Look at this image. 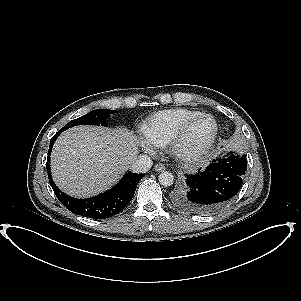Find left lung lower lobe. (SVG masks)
<instances>
[{
    "instance_id": "obj_1",
    "label": "left lung lower lobe",
    "mask_w": 301,
    "mask_h": 301,
    "mask_svg": "<svg viewBox=\"0 0 301 301\" xmlns=\"http://www.w3.org/2000/svg\"><path fill=\"white\" fill-rule=\"evenodd\" d=\"M214 160L204 171L187 175L175 194V204L194 214H210L225 207L242 187L247 160L231 153Z\"/></svg>"
}]
</instances>
